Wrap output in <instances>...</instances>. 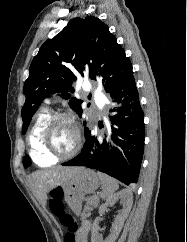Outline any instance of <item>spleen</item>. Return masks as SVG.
<instances>
[{
  "label": "spleen",
  "mask_w": 187,
  "mask_h": 242,
  "mask_svg": "<svg viewBox=\"0 0 187 242\" xmlns=\"http://www.w3.org/2000/svg\"><path fill=\"white\" fill-rule=\"evenodd\" d=\"M99 179L101 180L102 184V198H109L111 197L114 192L119 188L118 183L115 179L108 176L107 174L98 172L97 173Z\"/></svg>",
  "instance_id": "spleen-1"
}]
</instances>
